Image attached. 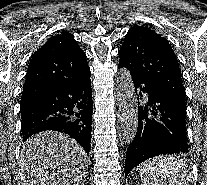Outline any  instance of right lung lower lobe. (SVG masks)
<instances>
[{
	"mask_svg": "<svg viewBox=\"0 0 207 185\" xmlns=\"http://www.w3.org/2000/svg\"><path fill=\"white\" fill-rule=\"evenodd\" d=\"M92 108L88 74L83 79L65 84L52 94L21 106L23 141L38 132L55 130L74 138L89 153Z\"/></svg>",
	"mask_w": 207,
	"mask_h": 185,
	"instance_id": "obj_1",
	"label": "right lung lower lobe"
}]
</instances>
